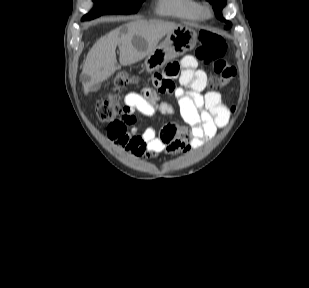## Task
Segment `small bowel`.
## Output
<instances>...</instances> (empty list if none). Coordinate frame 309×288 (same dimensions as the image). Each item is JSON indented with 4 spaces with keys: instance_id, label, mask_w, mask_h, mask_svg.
I'll use <instances>...</instances> for the list:
<instances>
[{
    "instance_id": "obj_1",
    "label": "small bowel",
    "mask_w": 309,
    "mask_h": 288,
    "mask_svg": "<svg viewBox=\"0 0 309 288\" xmlns=\"http://www.w3.org/2000/svg\"><path fill=\"white\" fill-rule=\"evenodd\" d=\"M174 78L179 79L180 86H175ZM161 82L168 84L167 91L177 101L186 126L170 123L160 131L146 128L141 133H135L132 125L125 126L119 122H112L108 126L109 140L139 158L162 152L177 154L197 150L225 127L229 120L230 110L221 94L216 91L203 93L207 76L198 68L193 56L186 55L180 62L169 65L162 78L154 80L156 86ZM124 102L129 110H137L148 117L174 113L173 106L159 102L158 94L150 87L128 93Z\"/></svg>"
}]
</instances>
